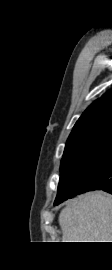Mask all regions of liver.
<instances>
[{
	"label": "liver",
	"mask_w": 112,
	"mask_h": 270,
	"mask_svg": "<svg viewBox=\"0 0 112 270\" xmlns=\"http://www.w3.org/2000/svg\"><path fill=\"white\" fill-rule=\"evenodd\" d=\"M63 242H112V196L82 195L59 215Z\"/></svg>",
	"instance_id": "obj_1"
}]
</instances>
